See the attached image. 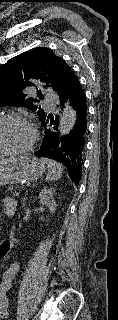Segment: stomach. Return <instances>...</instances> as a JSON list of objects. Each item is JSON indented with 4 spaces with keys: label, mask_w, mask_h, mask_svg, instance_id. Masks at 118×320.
I'll return each mask as SVG.
<instances>
[{
    "label": "stomach",
    "mask_w": 118,
    "mask_h": 320,
    "mask_svg": "<svg viewBox=\"0 0 118 320\" xmlns=\"http://www.w3.org/2000/svg\"><path fill=\"white\" fill-rule=\"evenodd\" d=\"M45 163L33 156L13 157L0 161V187L42 177Z\"/></svg>",
    "instance_id": "1"
}]
</instances>
